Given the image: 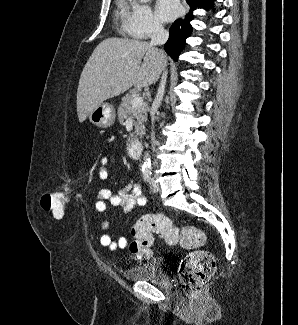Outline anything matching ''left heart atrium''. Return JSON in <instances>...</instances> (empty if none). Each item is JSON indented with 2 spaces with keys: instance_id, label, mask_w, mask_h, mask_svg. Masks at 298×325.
Returning a JSON list of instances; mask_svg holds the SVG:
<instances>
[{
  "instance_id": "obj_1",
  "label": "left heart atrium",
  "mask_w": 298,
  "mask_h": 325,
  "mask_svg": "<svg viewBox=\"0 0 298 325\" xmlns=\"http://www.w3.org/2000/svg\"><path fill=\"white\" fill-rule=\"evenodd\" d=\"M181 11L178 0H158L157 16L161 22H170L174 20Z\"/></svg>"
}]
</instances>
